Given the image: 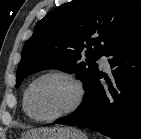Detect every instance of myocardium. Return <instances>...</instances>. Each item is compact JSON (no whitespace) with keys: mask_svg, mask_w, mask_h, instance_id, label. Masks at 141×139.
Listing matches in <instances>:
<instances>
[{"mask_svg":"<svg viewBox=\"0 0 141 139\" xmlns=\"http://www.w3.org/2000/svg\"><path fill=\"white\" fill-rule=\"evenodd\" d=\"M48 77H60L63 78L67 81H69L74 89H75V98L73 100V102L71 103V105L69 107H67L65 110H63L62 112L48 117V118H40L37 117L36 115H34L31 111L30 108V94L32 89L34 88V86L41 81L42 79L48 78ZM85 98V87L83 82L74 74L66 72V71H61V70H52V71H48L45 72L41 75H39L38 77H36L27 87L25 94H24V109L25 112L27 113V115L37 121V122H41V123H49V122H53L56 121L58 119H61L63 117H66L70 114H72L73 112H75L83 103Z\"/></svg>","mask_w":141,"mask_h":139,"instance_id":"obj_1","label":"myocardium"}]
</instances>
